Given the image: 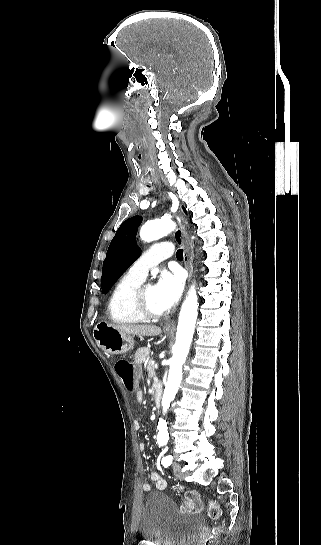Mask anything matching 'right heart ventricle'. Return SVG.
Instances as JSON below:
<instances>
[{
	"mask_svg": "<svg viewBox=\"0 0 321 545\" xmlns=\"http://www.w3.org/2000/svg\"><path fill=\"white\" fill-rule=\"evenodd\" d=\"M142 281L129 273L119 277L107 302V313L113 324L130 326L144 321L131 309V295Z\"/></svg>",
	"mask_w": 321,
	"mask_h": 545,
	"instance_id": "right-heart-ventricle-1",
	"label": "right heart ventricle"
}]
</instances>
